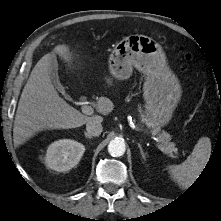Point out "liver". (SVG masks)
I'll use <instances>...</instances> for the list:
<instances>
[{"instance_id": "obj_1", "label": "liver", "mask_w": 221, "mask_h": 221, "mask_svg": "<svg viewBox=\"0 0 221 221\" xmlns=\"http://www.w3.org/2000/svg\"><path fill=\"white\" fill-rule=\"evenodd\" d=\"M56 55L67 62L71 60L69 47L57 45L37 62L24 86L14 120L15 145L24 143L39 131L76 128L91 121L103 120L98 115H83L59 96L50 77V59L56 58ZM107 83L111 84V79H107ZM113 108L109 98L98 99L96 109L99 113L107 115Z\"/></svg>"}]
</instances>
